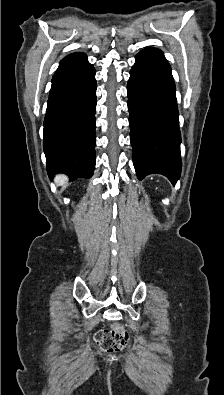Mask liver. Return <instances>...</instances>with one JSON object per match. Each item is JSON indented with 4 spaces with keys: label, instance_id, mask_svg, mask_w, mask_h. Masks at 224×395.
<instances>
[{
    "label": "liver",
    "instance_id": "obj_1",
    "mask_svg": "<svg viewBox=\"0 0 224 395\" xmlns=\"http://www.w3.org/2000/svg\"><path fill=\"white\" fill-rule=\"evenodd\" d=\"M66 182V177L64 175H58L56 177V183L58 185H63Z\"/></svg>",
    "mask_w": 224,
    "mask_h": 395
}]
</instances>
